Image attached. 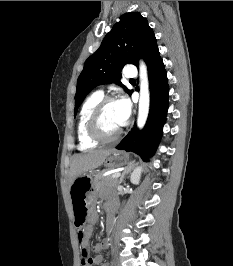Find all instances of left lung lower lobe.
Here are the masks:
<instances>
[{"instance_id": "left-lung-lower-lobe-1", "label": "left lung lower lobe", "mask_w": 233, "mask_h": 266, "mask_svg": "<svg viewBox=\"0 0 233 266\" xmlns=\"http://www.w3.org/2000/svg\"><path fill=\"white\" fill-rule=\"evenodd\" d=\"M145 62L148 66L151 99L146 126L141 131L134 127L116 149L135 152L144 161H148L154 155L162 136L168 109L169 86L158 46L148 53Z\"/></svg>"}]
</instances>
